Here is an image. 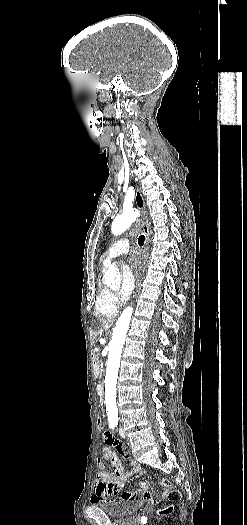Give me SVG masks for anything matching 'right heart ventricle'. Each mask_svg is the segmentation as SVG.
I'll use <instances>...</instances> for the list:
<instances>
[{"mask_svg": "<svg viewBox=\"0 0 247 525\" xmlns=\"http://www.w3.org/2000/svg\"><path fill=\"white\" fill-rule=\"evenodd\" d=\"M101 266L104 267L107 263V260L102 256L100 259ZM108 295V290L106 288L105 281L101 278L98 279L97 286V303L94 308L95 317H116L118 314V307L115 304H107L105 299Z\"/></svg>", "mask_w": 247, "mask_h": 525, "instance_id": "right-heart-ventricle-1", "label": "right heart ventricle"}]
</instances>
